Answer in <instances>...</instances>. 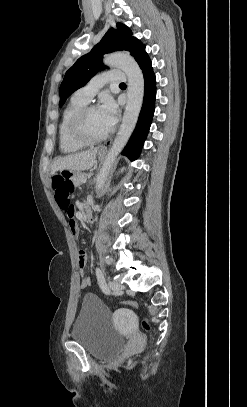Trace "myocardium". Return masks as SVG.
I'll list each match as a JSON object with an SVG mask.
<instances>
[{"label":"myocardium","mask_w":247,"mask_h":407,"mask_svg":"<svg viewBox=\"0 0 247 407\" xmlns=\"http://www.w3.org/2000/svg\"><path fill=\"white\" fill-rule=\"evenodd\" d=\"M97 108L98 107L95 105L86 104L85 106L80 108L73 116L70 123V132L73 139L76 140L77 142L84 145H95L103 142L113 133V128H110V130L107 133L97 138L90 137L86 133L84 127L85 117L89 111Z\"/></svg>","instance_id":"obj_1"}]
</instances>
